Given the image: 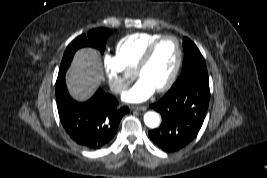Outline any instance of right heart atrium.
<instances>
[{
    "instance_id": "obj_1",
    "label": "right heart atrium",
    "mask_w": 267,
    "mask_h": 178,
    "mask_svg": "<svg viewBox=\"0 0 267 178\" xmlns=\"http://www.w3.org/2000/svg\"><path fill=\"white\" fill-rule=\"evenodd\" d=\"M103 67L110 88L117 94L124 92L134 78V72L126 69L116 56L106 54L103 57Z\"/></svg>"
}]
</instances>
